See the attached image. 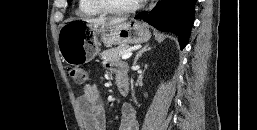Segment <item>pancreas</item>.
Here are the masks:
<instances>
[{
  "label": "pancreas",
  "instance_id": "cf45deb5",
  "mask_svg": "<svg viewBox=\"0 0 257 130\" xmlns=\"http://www.w3.org/2000/svg\"><path fill=\"white\" fill-rule=\"evenodd\" d=\"M129 49V46H119L117 48H111L108 50L103 51L100 54L101 59L104 62L110 63L112 65L119 62L121 54Z\"/></svg>",
  "mask_w": 257,
  "mask_h": 130
}]
</instances>
